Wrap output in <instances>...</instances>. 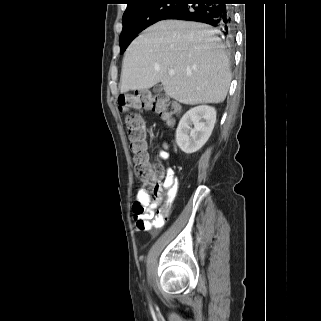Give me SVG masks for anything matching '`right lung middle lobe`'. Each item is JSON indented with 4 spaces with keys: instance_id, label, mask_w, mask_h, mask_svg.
<instances>
[{
    "instance_id": "dd1d6c3e",
    "label": "right lung middle lobe",
    "mask_w": 321,
    "mask_h": 321,
    "mask_svg": "<svg viewBox=\"0 0 321 321\" xmlns=\"http://www.w3.org/2000/svg\"><path fill=\"white\" fill-rule=\"evenodd\" d=\"M182 0H153L123 15V29L119 38L122 54L132 40L144 29L160 21L162 17L179 6Z\"/></svg>"
}]
</instances>
